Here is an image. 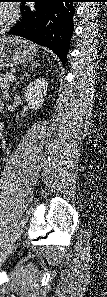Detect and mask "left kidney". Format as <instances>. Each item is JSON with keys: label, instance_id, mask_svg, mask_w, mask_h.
Returning <instances> with one entry per match:
<instances>
[{"label": "left kidney", "instance_id": "5707ae66", "mask_svg": "<svg viewBox=\"0 0 107 297\" xmlns=\"http://www.w3.org/2000/svg\"><path fill=\"white\" fill-rule=\"evenodd\" d=\"M45 82L43 80H36L31 83L26 92V101L31 105H39L42 102L45 93Z\"/></svg>", "mask_w": 107, "mask_h": 297}]
</instances>
